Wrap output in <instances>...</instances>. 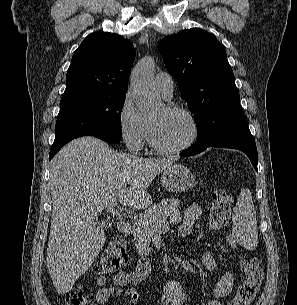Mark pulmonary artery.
Here are the masks:
<instances>
[{"label": "pulmonary artery", "mask_w": 297, "mask_h": 305, "mask_svg": "<svg viewBox=\"0 0 297 305\" xmlns=\"http://www.w3.org/2000/svg\"><path fill=\"white\" fill-rule=\"evenodd\" d=\"M157 92L165 99H169L173 94L174 82L170 74L159 72L154 79Z\"/></svg>", "instance_id": "pulmonary-artery-1"}]
</instances>
